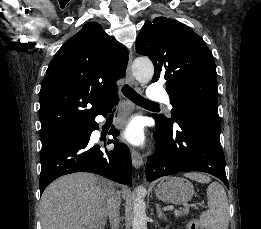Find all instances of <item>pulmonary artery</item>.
Segmentation results:
<instances>
[{"instance_id":"obj_1","label":"pulmonary artery","mask_w":261,"mask_h":229,"mask_svg":"<svg viewBox=\"0 0 261 229\" xmlns=\"http://www.w3.org/2000/svg\"><path fill=\"white\" fill-rule=\"evenodd\" d=\"M162 84H150L149 88L151 89L148 91L149 99H168L169 95L167 94V91L165 89H162ZM167 102L165 100H160V105H165ZM167 108L170 106L167 105Z\"/></svg>"}]
</instances>
